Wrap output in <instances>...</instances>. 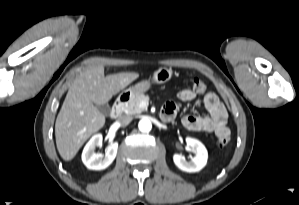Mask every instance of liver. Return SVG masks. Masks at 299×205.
I'll use <instances>...</instances> for the list:
<instances>
[{
	"label": "liver",
	"instance_id": "obj_1",
	"mask_svg": "<svg viewBox=\"0 0 299 205\" xmlns=\"http://www.w3.org/2000/svg\"><path fill=\"white\" fill-rule=\"evenodd\" d=\"M139 77L135 72L104 76V66L82 72L70 86L55 122L56 146L65 161L72 160L84 142L105 124L96 105L109 100Z\"/></svg>",
	"mask_w": 299,
	"mask_h": 205
}]
</instances>
